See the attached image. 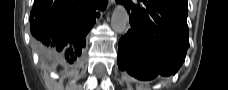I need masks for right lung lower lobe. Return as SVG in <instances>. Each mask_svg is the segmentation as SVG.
Returning a JSON list of instances; mask_svg holds the SVG:
<instances>
[{"instance_id":"obj_1","label":"right lung lower lobe","mask_w":228,"mask_h":90,"mask_svg":"<svg viewBox=\"0 0 228 90\" xmlns=\"http://www.w3.org/2000/svg\"><path fill=\"white\" fill-rule=\"evenodd\" d=\"M106 6L107 0H35L30 17L32 37L73 63L80 57L99 11Z\"/></svg>"}]
</instances>
